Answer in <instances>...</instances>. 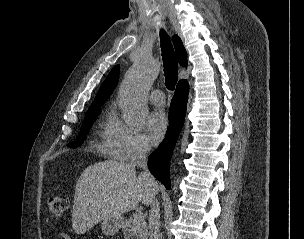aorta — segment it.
Wrapping results in <instances>:
<instances>
[{
    "label": "aorta",
    "mask_w": 304,
    "mask_h": 239,
    "mask_svg": "<svg viewBox=\"0 0 304 239\" xmlns=\"http://www.w3.org/2000/svg\"><path fill=\"white\" fill-rule=\"evenodd\" d=\"M158 65L147 56L141 57L127 72L119 91V102L124 117L141 123L147 115V93L158 75Z\"/></svg>",
    "instance_id": "aorta-1"
}]
</instances>
